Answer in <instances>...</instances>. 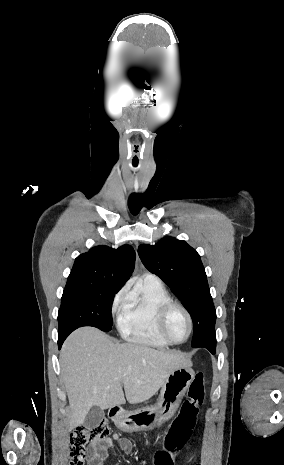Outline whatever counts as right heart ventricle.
Masks as SVG:
<instances>
[{
  "label": "right heart ventricle",
  "mask_w": 284,
  "mask_h": 465,
  "mask_svg": "<svg viewBox=\"0 0 284 465\" xmlns=\"http://www.w3.org/2000/svg\"><path fill=\"white\" fill-rule=\"evenodd\" d=\"M173 302L162 281L145 279L138 292L120 309L116 325L132 346H169L157 330L161 309Z\"/></svg>",
  "instance_id": "e07e8e85"
}]
</instances>
